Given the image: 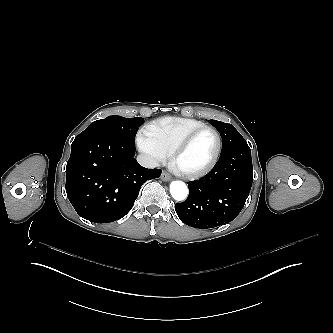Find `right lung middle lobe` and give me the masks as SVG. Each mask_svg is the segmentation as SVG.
<instances>
[{
	"label": "right lung middle lobe",
	"instance_id": "1",
	"mask_svg": "<svg viewBox=\"0 0 333 333\" xmlns=\"http://www.w3.org/2000/svg\"><path fill=\"white\" fill-rule=\"evenodd\" d=\"M143 123L144 119L140 117L124 118L112 115L105 119L94 121L80 134L88 135L102 132L134 144L136 133Z\"/></svg>",
	"mask_w": 333,
	"mask_h": 333
}]
</instances>
